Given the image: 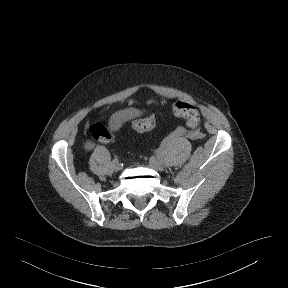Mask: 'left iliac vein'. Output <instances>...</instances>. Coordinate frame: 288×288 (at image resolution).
I'll return each instance as SVG.
<instances>
[{"mask_svg": "<svg viewBox=\"0 0 288 288\" xmlns=\"http://www.w3.org/2000/svg\"><path fill=\"white\" fill-rule=\"evenodd\" d=\"M149 166L153 169H156V170H162L163 169L162 162L157 157H151L149 159Z\"/></svg>", "mask_w": 288, "mask_h": 288, "instance_id": "obj_1", "label": "left iliac vein"}]
</instances>
